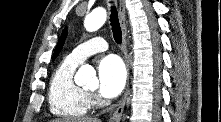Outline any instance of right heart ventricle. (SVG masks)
Here are the masks:
<instances>
[{
  "label": "right heart ventricle",
  "mask_w": 221,
  "mask_h": 122,
  "mask_svg": "<svg viewBox=\"0 0 221 122\" xmlns=\"http://www.w3.org/2000/svg\"><path fill=\"white\" fill-rule=\"evenodd\" d=\"M78 62L66 57L55 69L49 83L50 111L59 117H82L91 107L89 95L74 81Z\"/></svg>",
  "instance_id": "right-heart-ventricle-1"
}]
</instances>
